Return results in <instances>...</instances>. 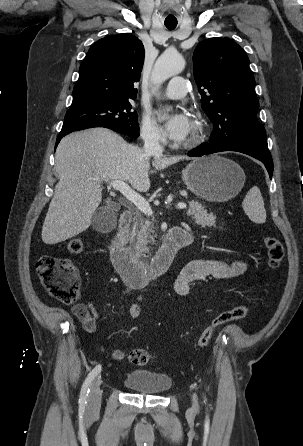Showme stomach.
Listing matches in <instances>:
<instances>
[{
    "label": "stomach",
    "instance_id": "obj_1",
    "mask_svg": "<svg viewBox=\"0 0 303 446\" xmlns=\"http://www.w3.org/2000/svg\"><path fill=\"white\" fill-rule=\"evenodd\" d=\"M245 178L244 170L237 163L219 155L194 159L182 172L187 188L211 202L234 198L243 188Z\"/></svg>",
    "mask_w": 303,
    "mask_h": 446
}]
</instances>
